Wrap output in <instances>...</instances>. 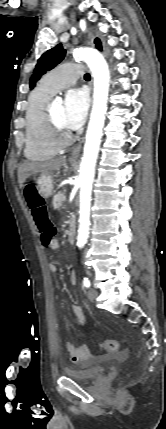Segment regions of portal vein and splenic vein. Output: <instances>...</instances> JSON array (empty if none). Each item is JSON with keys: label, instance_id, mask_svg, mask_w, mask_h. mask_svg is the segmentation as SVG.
<instances>
[{"label": "portal vein and splenic vein", "instance_id": "obj_1", "mask_svg": "<svg viewBox=\"0 0 166 429\" xmlns=\"http://www.w3.org/2000/svg\"><path fill=\"white\" fill-rule=\"evenodd\" d=\"M62 199H63V201H65V200H66V197H65V196H63V197H62Z\"/></svg>", "mask_w": 166, "mask_h": 429}]
</instances>
